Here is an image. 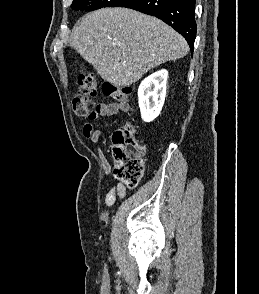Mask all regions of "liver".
<instances>
[{"label": "liver", "mask_w": 259, "mask_h": 294, "mask_svg": "<svg viewBox=\"0 0 259 294\" xmlns=\"http://www.w3.org/2000/svg\"><path fill=\"white\" fill-rule=\"evenodd\" d=\"M70 46L115 86H129L151 68L188 53L186 40L163 21L121 7L83 16Z\"/></svg>", "instance_id": "obj_1"}]
</instances>
